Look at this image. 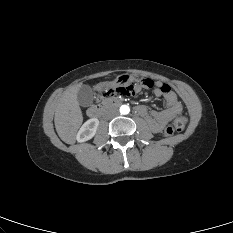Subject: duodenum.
Here are the masks:
<instances>
[{"label":"duodenum","instance_id":"1","mask_svg":"<svg viewBox=\"0 0 233 233\" xmlns=\"http://www.w3.org/2000/svg\"><path fill=\"white\" fill-rule=\"evenodd\" d=\"M120 100L117 98H109L101 104L94 105L88 109V116L92 119H98L107 109L118 106Z\"/></svg>","mask_w":233,"mask_h":233}]
</instances>
